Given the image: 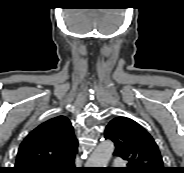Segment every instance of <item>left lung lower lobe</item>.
I'll return each mask as SVG.
<instances>
[{"label":"left lung lower lobe","mask_w":184,"mask_h":173,"mask_svg":"<svg viewBox=\"0 0 184 173\" xmlns=\"http://www.w3.org/2000/svg\"><path fill=\"white\" fill-rule=\"evenodd\" d=\"M108 171H103V173H107Z\"/></svg>","instance_id":"1"}]
</instances>
